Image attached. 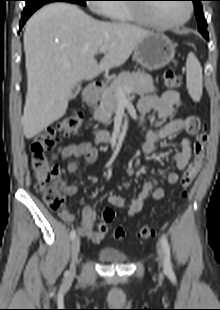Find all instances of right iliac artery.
<instances>
[{
	"instance_id": "right-iliac-artery-1",
	"label": "right iliac artery",
	"mask_w": 220,
	"mask_h": 310,
	"mask_svg": "<svg viewBox=\"0 0 220 310\" xmlns=\"http://www.w3.org/2000/svg\"><path fill=\"white\" fill-rule=\"evenodd\" d=\"M76 237V231L75 230H72L71 232H70V238L71 239H74Z\"/></svg>"
}]
</instances>
